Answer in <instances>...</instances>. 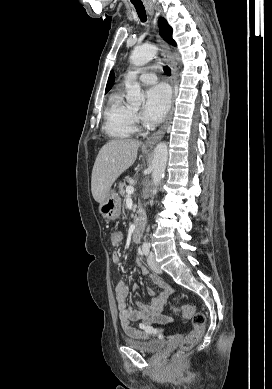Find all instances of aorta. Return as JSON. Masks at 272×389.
Instances as JSON below:
<instances>
[{
  "label": "aorta",
  "mask_w": 272,
  "mask_h": 389,
  "mask_svg": "<svg viewBox=\"0 0 272 389\" xmlns=\"http://www.w3.org/2000/svg\"><path fill=\"white\" fill-rule=\"evenodd\" d=\"M157 51V46L152 44L135 47L131 53L130 61L135 67L143 66L156 56ZM126 100L131 105H141L144 102L145 97L141 91L139 83L135 82L127 87ZM167 159V143L160 142L154 149L152 161V179L155 188L159 186L164 177Z\"/></svg>",
  "instance_id": "762f6f07"
}]
</instances>
